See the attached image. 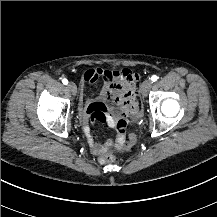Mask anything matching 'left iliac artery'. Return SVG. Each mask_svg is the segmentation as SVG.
Segmentation results:
<instances>
[{"label": "left iliac artery", "mask_w": 217, "mask_h": 217, "mask_svg": "<svg viewBox=\"0 0 217 217\" xmlns=\"http://www.w3.org/2000/svg\"><path fill=\"white\" fill-rule=\"evenodd\" d=\"M157 79H158V77H157L156 75H153V76L151 77V81H152V82H155Z\"/></svg>", "instance_id": "1"}]
</instances>
